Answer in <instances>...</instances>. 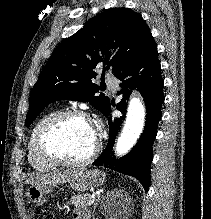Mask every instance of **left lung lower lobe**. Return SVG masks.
I'll return each instance as SVG.
<instances>
[{
	"label": "left lung lower lobe",
	"instance_id": "obj_1",
	"mask_svg": "<svg viewBox=\"0 0 211 219\" xmlns=\"http://www.w3.org/2000/svg\"><path fill=\"white\" fill-rule=\"evenodd\" d=\"M160 62L157 57V47L152 35H150L140 51L131 62L116 76L120 83L122 100L117 104V109L124 113L126 100L130 89L138 88L144 97L146 106V122L143 134L138 143L124 157L115 159L112 146L124 116L120 118H109V140L103 153L97 158L93 165L108 167L111 170L130 175L138 179L148 190L150 184V164L152 162V145L157 133V125L161 119V106L164 102L163 84L160 73ZM111 104L104 114L108 117Z\"/></svg>",
	"mask_w": 211,
	"mask_h": 219
}]
</instances>
